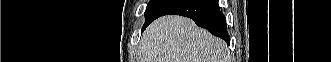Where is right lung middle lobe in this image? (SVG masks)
<instances>
[{
    "mask_svg": "<svg viewBox=\"0 0 331 62\" xmlns=\"http://www.w3.org/2000/svg\"><path fill=\"white\" fill-rule=\"evenodd\" d=\"M176 0H150L146 7L144 25L154 20L161 12H163L169 5Z\"/></svg>",
    "mask_w": 331,
    "mask_h": 62,
    "instance_id": "1",
    "label": "right lung middle lobe"
}]
</instances>
